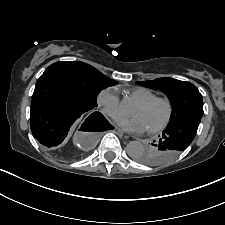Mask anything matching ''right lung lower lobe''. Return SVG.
Segmentation results:
<instances>
[{"label":"right lung lower lobe","mask_w":225,"mask_h":225,"mask_svg":"<svg viewBox=\"0 0 225 225\" xmlns=\"http://www.w3.org/2000/svg\"><path fill=\"white\" fill-rule=\"evenodd\" d=\"M77 91L54 77H40L35 85L30 109L33 136L46 148L62 144L74 122L83 113H92L91 131L112 129L108 121Z\"/></svg>","instance_id":"98d812e1"}]
</instances>
